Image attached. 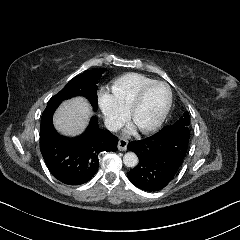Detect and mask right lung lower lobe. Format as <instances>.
<instances>
[{"mask_svg": "<svg viewBox=\"0 0 240 240\" xmlns=\"http://www.w3.org/2000/svg\"><path fill=\"white\" fill-rule=\"evenodd\" d=\"M93 117L87 130L79 137L67 138L55 130L52 117L41 121L40 149L52 175L67 185L88 182L98 171L99 156L116 151L118 138L100 129Z\"/></svg>", "mask_w": 240, "mask_h": 240, "instance_id": "98d812e1", "label": "right lung lower lobe"}]
</instances>
